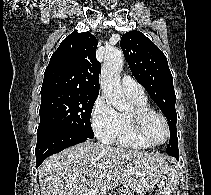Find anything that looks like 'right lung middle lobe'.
<instances>
[{"instance_id":"1","label":"right lung middle lobe","mask_w":211,"mask_h":195,"mask_svg":"<svg viewBox=\"0 0 211 195\" xmlns=\"http://www.w3.org/2000/svg\"><path fill=\"white\" fill-rule=\"evenodd\" d=\"M97 95L54 90L41 93L37 137L56 131H77L93 138L90 117Z\"/></svg>"}]
</instances>
